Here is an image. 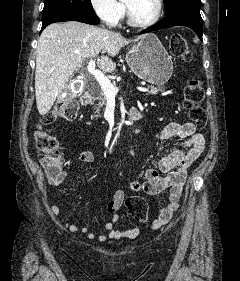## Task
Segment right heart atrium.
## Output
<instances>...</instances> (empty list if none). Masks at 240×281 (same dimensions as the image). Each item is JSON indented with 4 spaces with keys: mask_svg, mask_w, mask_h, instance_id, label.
Masks as SVG:
<instances>
[{
    "mask_svg": "<svg viewBox=\"0 0 240 281\" xmlns=\"http://www.w3.org/2000/svg\"><path fill=\"white\" fill-rule=\"evenodd\" d=\"M94 13L105 23L117 24L125 13L124 5L119 0H90Z\"/></svg>",
    "mask_w": 240,
    "mask_h": 281,
    "instance_id": "obj_1",
    "label": "right heart atrium"
}]
</instances>
